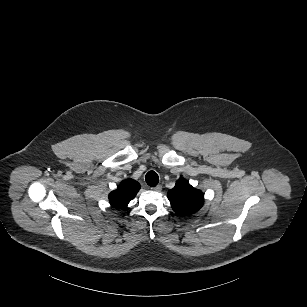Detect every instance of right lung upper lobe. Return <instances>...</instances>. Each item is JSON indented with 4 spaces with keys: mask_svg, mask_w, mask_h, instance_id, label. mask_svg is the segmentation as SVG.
<instances>
[{
    "mask_svg": "<svg viewBox=\"0 0 307 307\" xmlns=\"http://www.w3.org/2000/svg\"><path fill=\"white\" fill-rule=\"evenodd\" d=\"M140 189V184L133 179L122 181L117 190L109 194V201L116 209H125L128 203L136 196Z\"/></svg>",
    "mask_w": 307,
    "mask_h": 307,
    "instance_id": "1",
    "label": "right lung upper lobe"
}]
</instances>
